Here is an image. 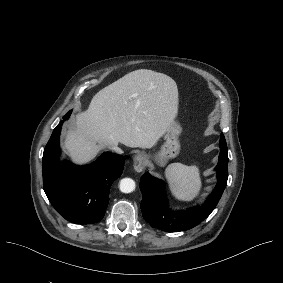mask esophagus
Here are the masks:
<instances>
[{
	"mask_svg": "<svg viewBox=\"0 0 283 283\" xmlns=\"http://www.w3.org/2000/svg\"><path fill=\"white\" fill-rule=\"evenodd\" d=\"M148 162H147V156L143 153H138L135 157H134V169L137 172H141L145 169V167L147 166Z\"/></svg>",
	"mask_w": 283,
	"mask_h": 283,
	"instance_id": "1",
	"label": "esophagus"
}]
</instances>
